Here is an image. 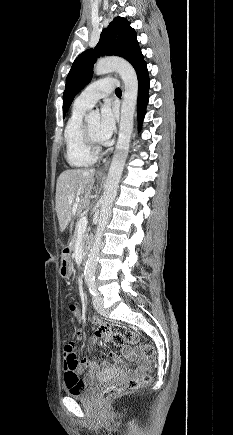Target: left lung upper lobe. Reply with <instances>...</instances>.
Wrapping results in <instances>:
<instances>
[{"label":"left lung upper lobe","instance_id":"1","mask_svg":"<svg viewBox=\"0 0 233 435\" xmlns=\"http://www.w3.org/2000/svg\"><path fill=\"white\" fill-rule=\"evenodd\" d=\"M104 55H116L126 59L135 71L146 65L135 30L125 18H114L101 32L96 47L82 52L73 62L63 93V117L77 93L91 80L97 57Z\"/></svg>","mask_w":233,"mask_h":435}]
</instances>
